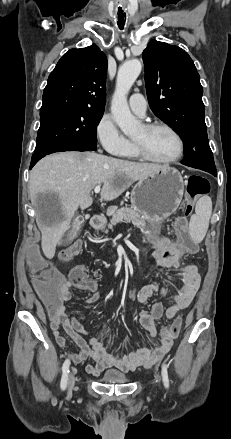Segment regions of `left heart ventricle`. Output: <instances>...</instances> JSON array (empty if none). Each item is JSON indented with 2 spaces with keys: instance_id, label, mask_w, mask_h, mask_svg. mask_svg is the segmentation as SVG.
<instances>
[{
  "instance_id": "1",
  "label": "left heart ventricle",
  "mask_w": 231,
  "mask_h": 439,
  "mask_svg": "<svg viewBox=\"0 0 231 439\" xmlns=\"http://www.w3.org/2000/svg\"><path fill=\"white\" fill-rule=\"evenodd\" d=\"M133 140L140 143L149 155L156 159H169L176 154L178 149L176 139L165 129L146 131L142 127Z\"/></svg>"
}]
</instances>
